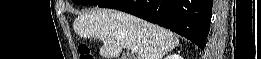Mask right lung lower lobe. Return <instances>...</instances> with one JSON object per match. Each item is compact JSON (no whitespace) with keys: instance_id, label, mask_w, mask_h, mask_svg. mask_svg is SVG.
Instances as JSON below:
<instances>
[{"instance_id":"right-lung-lower-lobe-1","label":"right lung lower lobe","mask_w":261,"mask_h":59,"mask_svg":"<svg viewBox=\"0 0 261 59\" xmlns=\"http://www.w3.org/2000/svg\"><path fill=\"white\" fill-rule=\"evenodd\" d=\"M99 7L121 10L163 26L204 49L212 0H103Z\"/></svg>"}]
</instances>
